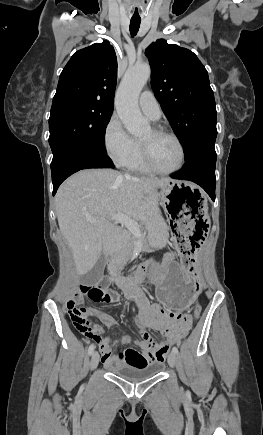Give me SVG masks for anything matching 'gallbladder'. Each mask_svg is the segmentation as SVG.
Masks as SVG:
<instances>
[{
    "label": "gallbladder",
    "mask_w": 263,
    "mask_h": 435,
    "mask_svg": "<svg viewBox=\"0 0 263 435\" xmlns=\"http://www.w3.org/2000/svg\"><path fill=\"white\" fill-rule=\"evenodd\" d=\"M106 264L105 256H101L95 266L81 277V282L87 286H93L98 283L103 275Z\"/></svg>",
    "instance_id": "gallbladder-1"
}]
</instances>
